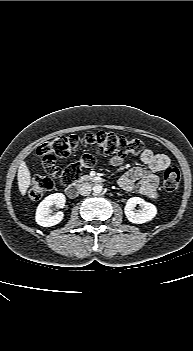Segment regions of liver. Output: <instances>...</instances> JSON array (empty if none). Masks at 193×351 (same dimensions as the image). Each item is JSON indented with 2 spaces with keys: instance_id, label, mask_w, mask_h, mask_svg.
<instances>
[{
  "instance_id": "1",
  "label": "liver",
  "mask_w": 193,
  "mask_h": 351,
  "mask_svg": "<svg viewBox=\"0 0 193 351\" xmlns=\"http://www.w3.org/2000/svg\"><path fill=\"white\" fill-rule=\"evenodd\" d=\"M18 187L21 195H25L31 183L30 171L25 162H21L17 173Z\"/></svg>"
}]
</instances>
